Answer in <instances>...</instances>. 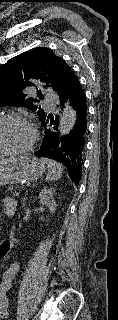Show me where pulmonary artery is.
<instances>
[{"label":"pulmonary artery","instance_id":"1","mask_svg":"<svg viewBox=\"0 0 118 320\" xmlns=\"http://www.w3.org/2000/svg\"><path fill=\"white\" fill-rule=\"evenodd\" d=\"M44 98H45V104L48 105L50 108H53L54 107L55 96L50 92H46L44 94Z\"/></svg>","mask_w":118,"mask_h":320}]
</instances>
